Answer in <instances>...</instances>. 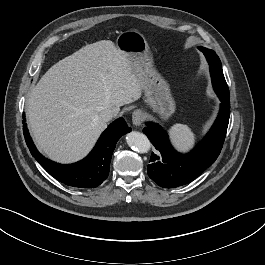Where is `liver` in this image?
Listing matches in <instances>:
<instances>
[{"instance_id":"6515ba94","label":"liver","mask_w":265,"mask_h":265,"mask_svg":"<svg viewBox=\"0 0 265 265\" xmlns=\"http://www.w3.org/2000/svg\"><path fill=\"white\" fill-rule=\"evenodd\" d=\"M115 43L88 44L54 64L27 99L28 124L39 150L60 163L84 158L106 127L103 110L115 115L140 99L141 77Z\"/></svg>"}]
</instances>
